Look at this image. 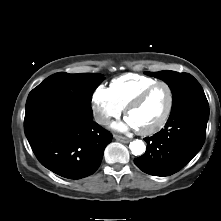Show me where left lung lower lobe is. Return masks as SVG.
I'll use <instances>...</instances> for the list:
<instances>
[{"label":"left lung lower lobe","mask_w":221,"mask_h":221,"mask_svg":"<svg viewBox=\"0 0 221 221\" xmlns=\"http://www.w3.org/2000/svg\"><path fill=\"white\" fill-rule=\"evenodd\" d=\"M209 117L204 95L189 98L172 109L165 128L144 140V155L134 159L145 173L169 176L182 169L202 148Z\"/></svg>","instance_id":"left-lung-lower-lobe-1"}]
</instances>
